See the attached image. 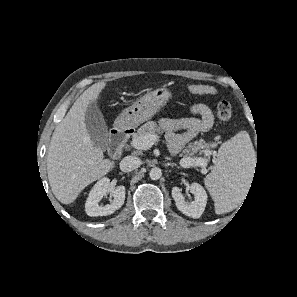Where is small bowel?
<instances>
[{
	"instance_id": "1",
	"label": "small bowel",
	"mask_w": 297,
	"mask_h": 297,
	"mask_svg": "<svg viewBox=\"0 0 297 297\" xmlns=\"http://www.w3.org/2000/svg\"><path fill=\"white\" fill-rule=\"evenodd\" d=\"M190 111L200 118H162L159 121L160 126L166 132L167 145L172 154H178L186 144L199 134L210 130L213 125V115L207 105L194 104ZM176 131L182 132L178 134Z\"/></svg>"
}]
</instances>
